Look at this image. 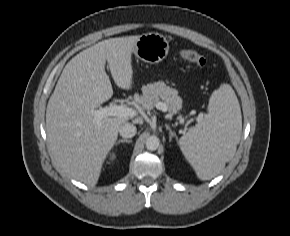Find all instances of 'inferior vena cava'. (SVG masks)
<instances>
[{"label": "inferior vena cava", "instance_id": "1", "mask_svg": "<svg viewBox=\"0 0 290 236\" xmlns=\"http://www.w3.org/2000/svg\"><path fill=\"white\" fill-rule=\"evenodd\" d=\"M137 132L136 126L131 123H124L119 128V133L123 138H132Z\"/></svg>", "mask_w": 290, "mask_h": 236}]
</instances>
